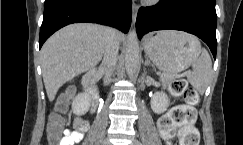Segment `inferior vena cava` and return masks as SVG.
I'll use <instances>...</instances> for the list:
<instances>
[{
  "label": "inferior vena cava",
  "mask_w": 243,
  "mask_h": 145,
  "mask_svg": "<svg viewBox=\"0 0 243 145\" xmlns=\"http://www.w3.org/2000/svg\"><path fill=\"white\" fill-rule=\"evenodd\" d=\"M119 51V39L117 32L109 28L105 45L104 57L100 69L104 74V81L107 82L115 70L117 56Z\"/></svg>",
  "instance_id": "inferior-vena-cava-1"
}]
</instances>
